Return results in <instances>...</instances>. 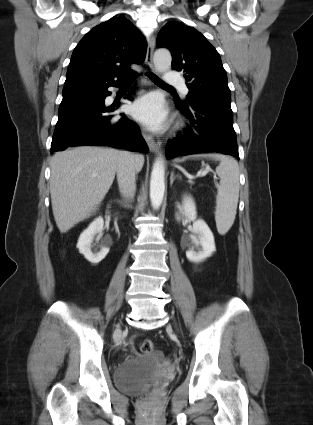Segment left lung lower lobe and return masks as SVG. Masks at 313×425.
Instances as JSON below:
<instances>
[{
	"label": "left lung lower lobe",
	"mask_w": 313,
	"mask_h": 425,
	"mask_svg": "<svg viewBox=\"0 0 313 425\" xmlns=\"http://www.w3.org/2000/svg\"><path fill=\"white\" fill-rule=\"evenodd\" d=\"M176 107L190 120L184 136L168 141L167 158L195 153H222L239 158L233 112L229 102L200 99Z\"/></svg>",
	"instance_id": "0a47b994"
}]
</instances>
